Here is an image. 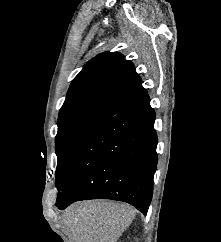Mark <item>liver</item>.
Segmentation results:
<instances>
[{"label": "liver", "instance_id": "6515ba94", "mask_svg": "<svg viewBox=\"0 0 221 242\" xmlns=\"http://www.w3.org/2000/svg\"><path fill=\"white\" fill-rule=\"evenodd\" d=\"M134 217L127 204L85 201L70 206L62 223L70 242H117Z\"/></svg>", "mask_w": 221, "mask_h": 242}]
</instances>
